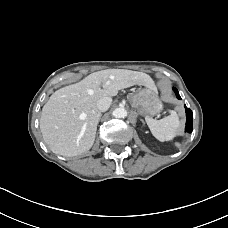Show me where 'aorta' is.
Returning <instances> with one entry per match:
<instances>
[{
    "label": "aorta",
    "mask_w": 228,
    "mask_h": 228,
    "mask_svg": "<svg viewBox=\"0 0 228 228\" xmlns=\"http://www.w3.org/2000/svg\"><path fill=\"white\" fill-rule=\"evenodd\" d=\"M112 114L115 118H125L127 116V111L125 108L119 107L116 108Z\"/></svg>",
    "instance_id": "762f6f07"
}]
</instances>
